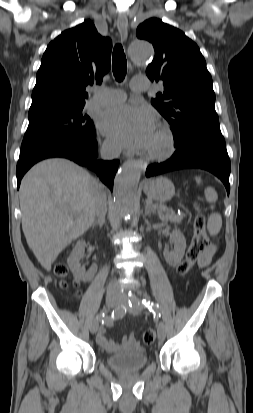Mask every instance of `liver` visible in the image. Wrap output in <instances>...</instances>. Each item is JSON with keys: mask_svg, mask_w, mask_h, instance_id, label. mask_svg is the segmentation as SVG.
Returning a JSON list of instances; mask_svg holds the SVG:
<instances>
[{"mask_svg": "<svg viewBox=\"0 0 253 413\" xmlns=\"http://www.w3.org/2000/svg\"><path fill=\"white\" fill-rule=\"evenodd\" d=\"M99 186L85 169L62 158L39 162L23 177L22 229L47 271L59 253L93 224Z\"/></svg>", "mask_w": 253, "mask_h": 413, "instance_id": "obj_1", "label": "liver"}]
</instances>
